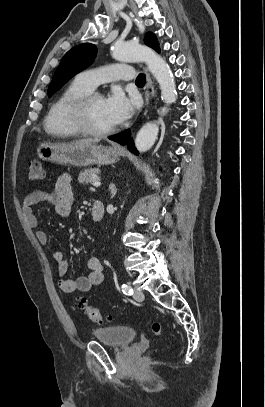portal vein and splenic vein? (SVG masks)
<instances>
[{
	"instance_id": "portal-vein-and-splenic-vein-1",
	"label": "portal vein and splenic vein",
	"mask_w": 265,
	"mask_h": 407,
	"mask_svg": "<svg viewBox=\"0 0 265 407\" xmlns=\"http://www.w3.org/2000/svg\"><path fill=\"white\" fill-rule=\"evenodd\" d=\"M92 185H93L94 187H99V186L101 185V182H100L99 180H94L93 183H92Z\"/></svg>"
}]
</instances>
